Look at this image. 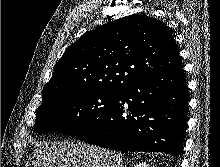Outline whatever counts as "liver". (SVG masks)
<instances>
[{
	"instance_id": "6515ba94",
	"label": "liver",
	"mask_w": 220,
	"mask_h": 167,
	"mask_svg": "<svg viewBox=\"0 0 220 167\" xmlns=\"http://www.w3.org/2000/svg\"><path fill=\"white\" fill-rule=\"evenodd\" d=\"M36 146L26 167H125L121 153L81 142H42Z\"/></svg>"
}]
</instances>
